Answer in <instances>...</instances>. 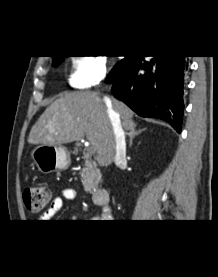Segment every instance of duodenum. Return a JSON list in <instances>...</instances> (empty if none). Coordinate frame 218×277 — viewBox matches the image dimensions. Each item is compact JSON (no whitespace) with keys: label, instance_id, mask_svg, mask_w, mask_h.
<instances>
[{"label":"duodenum","instance_id":"obj_1","mask_svg":"<svg viewBox=\"0 0 218 277\" xmlns=\"http://www.w3.org/2000/svg\"><path fill=\"white\" fill-rule=\"evenodd\" d=\"M93 200L97 205L101 207L107 206L110 202L109 191L103 188L95 190L93 192Z\"/></svg>","mask_w":218,"mask_h":277}]
</instances>
